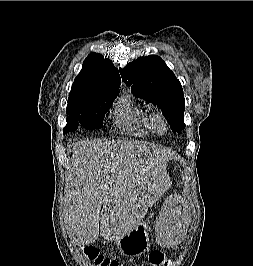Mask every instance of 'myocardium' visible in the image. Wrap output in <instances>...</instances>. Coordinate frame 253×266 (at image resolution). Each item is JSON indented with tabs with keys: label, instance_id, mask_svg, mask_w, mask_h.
I'll use <instances>...</instances> for the list:
<instances>
[{
	"label": "myocardium",
	"instance_id": "obj_1",
	"mask_svg": "<svg viewBox=\"0 0 253 266\" xmlns=\"http://www.w3.org/2000/svg\"><path fill=\"white\" fill-rule=\"evenodd\" d=\"M150 126L152 130L157 134H163L167 129V123L165 118L159 113H153L150 118Z\"/></svg>",
	"mask_w": 253,
	"mask_h": 266
}]
</instances>
